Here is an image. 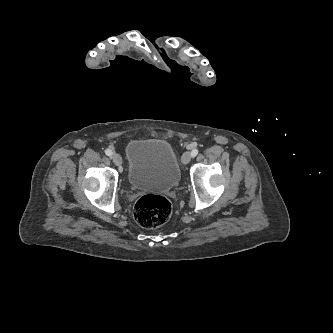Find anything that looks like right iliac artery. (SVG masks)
<instances>
[{"mask_svg":"<svg viewBox=\"0 0 333 333\" xmlns=\"http://www.w3.org/2000/svg\"><path fill=\"white\" fill-rule=\"evenodd\" d=\"M105 154L107 156H111L113 154V150L111 148L106 149Z\"/></svg>","mask_w":333,"mask_h":333,"instance_id":"1","label":"right iliac artery"}]
</instances>
